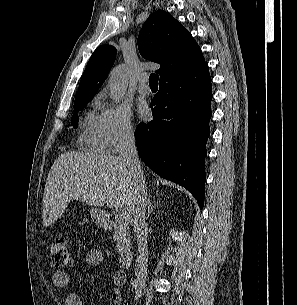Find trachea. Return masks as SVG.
<instances>
[{
    "label": "trachea",
    "instance_id": "trachea-1",
    "mask_svg": "<svg viewBox=\"0 0 297 305\" xmlns=\"http://www.w3.org/2000/svg\"><path fill=\"white\" fill-rule=\"evenodd\" d=\"M159 76L157 74H151L149 77V85L150 86H158Z\"/></svg>",
    "mask_w": 297,
    "mask_h": 305
}]
</instances>
